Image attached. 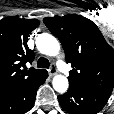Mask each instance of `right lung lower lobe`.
<instances>
[{
  "mask_svg": "<svg viewBox=\"0 0 114 114\" xmlns=\"http://www.w3.org/2000/svg\"><path fill=\"white\" fill-rule=\"evenodd\" d=\"M47 77L48 72L45 71L36 79L0 95V114H24L29 111L34 106L38 87Z\"/></svg>",
  "mask_w": 114,
  "mask_h": 114,
  "instance_id": "98d812e1",
  "label": "right lung lower lobe"
}]
</instances>
